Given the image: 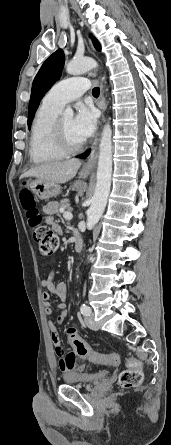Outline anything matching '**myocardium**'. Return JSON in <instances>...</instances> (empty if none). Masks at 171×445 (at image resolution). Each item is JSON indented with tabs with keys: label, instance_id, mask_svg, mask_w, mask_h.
Wrapping results in <instances>:
<instances>
[{
	"label": "myocardium",
	"instance_id": "f54148a6",
	"mask_svg": "<svg viewBox=\"0 0 171 445\" xmlns=\"http://www.w3.org/2000/svg\"><path fill=\"white\" fill-rule=\"evenodd\" d=\"M51 136L52 141L55 147L62 152L63 154H73L80 151L84 145L85 141L83 140L79 144H70L64 134L63 127L61 124V117L55 118L51 127Z\"/></svg>",
	"mask_w": 171,
	"mask_h": 445
}]
</instances>
